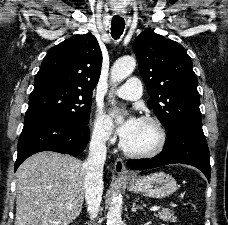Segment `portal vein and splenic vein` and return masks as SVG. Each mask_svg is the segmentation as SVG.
<instances>
[{
    "instance_id": "1",
    "label": "portal vein and splenic vein",
    "mask_w": 228,
    "mask_h": 225,
    "mask_svg": "<svg viewBox=\"0 0 228 225\" xmlns=\"http://www.w3.org/2000/svg\"><path fill=\"white\" fill-rule=\"evenodd\" d=\"M178 205H181V204H178V202H172L171 203V206L172 207H178ZM69 209H71L72 205H68ZM161 204H156V207H152V209H150V211H158V209H161Z\"/></svg>"
}]
</instances>
